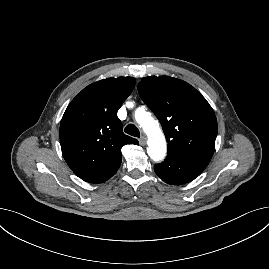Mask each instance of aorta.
I'll use <instances>...</instances> for the list:
<instances>
[{"label":"aorta","instance_id":"1","mask_svg":"<svg viewBox=\"0 0 269 269\" xmlns=\"http://www.w3.org/2000/svg\"><path fill=\"white\" fill-rule=\"evenodd\" d=\"M135 120L148 137L147 153L149 157L155 162L164 160L167 154V143L158 121L152 117L150 112L140 108L135 112Z\"/></svg>","mask_w":269,"mask_h":269}]
</instances>
